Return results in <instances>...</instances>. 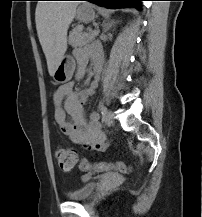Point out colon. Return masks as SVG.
<instances>
[{"instance_id":"5ec220e1","label":"colon","mask_w":202,"mask_h":217,"mask_svg":"<svg viewBox=\"0 0 202 217\" xmlns=\"http://www.w3.org/2000/svg\"><path fill=\"white\" fill-rule=\"evenodd\" d=\"M55 157L59 168L62 171L68 172L71 171L77 162H79L80 169L83 171L100 173L108 170L116 169L121 172H128L129 166L125 162H116V163H90L85 158L78 157L77 152L71 148H58L55 151Z\"/></svg>"}]
</instances>
